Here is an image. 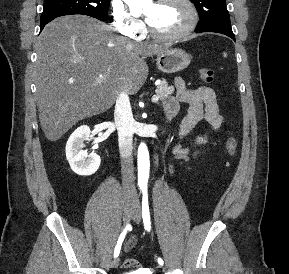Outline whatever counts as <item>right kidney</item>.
<instances>
[{"instance_id":"ca27d5eb","label":"right kidney","mask_w":289,"mask_h":274,"mask_svg":"<svg viewBox=\"0 0 289 274\" xmlns=\"http://www.w3.org/2000/svg\"><path fill=\"white\" fill-rule=\"evenodd\" d=\"M90 128L87 125L78 127L69 137L66 144V158L71 169L78 175L94 174L100 166L101 158L96 153L82 150L84 141L90 139Z\"/></svg>"}]
</instances>
